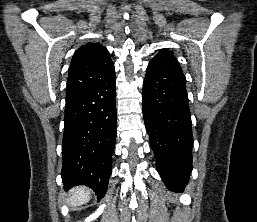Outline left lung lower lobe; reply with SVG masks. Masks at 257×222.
<instances>
[{"mask_svg": "<svg viewBox=\"0 0 257 222\" xmlns=\"http://www.w3.org/2000/svg\"><path fill=\"white\" fill-rule=\"evenodd\" d=\"M143 84L142 108L157 171L170 190H182L192 171L193 135L182 69L152 59Z\"/></svg>", "mask_w": 257, "mask_h": 222, "instance_id": "1", "label": "left lung lower lobe"}]
</instances>
